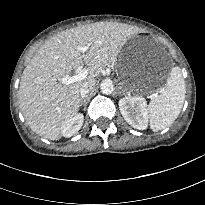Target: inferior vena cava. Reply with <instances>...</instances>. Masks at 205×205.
<instances>
[{
  "mask_svg": "<svg viewBox=\"0 0 205 205\" xmlns=\"http://www.w3.org/2000/svg\"><path fill=\"white\" fill-rule=\"evenodd\" d=\"M95 85L94 80L86 81L82 84L81 88L79 89V93L82 98L86 97L87 94L92 91L93 87Z\"/></svg>",
  "mask_w": 205,
  "mask_h": 205,
  "instance_id": "602c4592",
  "label": "inferior vena cava"
}]
</instances>
